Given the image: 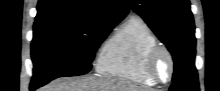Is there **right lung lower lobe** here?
Listing matches in <instances>:
<instances>
[{
	"mask_svg": "<svg viewBox=\"0 0 220 91\" xmlns=\"http://www.w3.org/2000/svg\"><path fill=\"white\" fill-rule=\"evenodd\" d=\"M42 86L41 84H35V83H31V86H30V90L33 91L35 90L36 88Z\"/></svg>",
	"mask_w": 220,
	"mask_h": 91,
	"instance_id": "obj_1",
	"label": "right lung lower lobe"
}]
</instances>
